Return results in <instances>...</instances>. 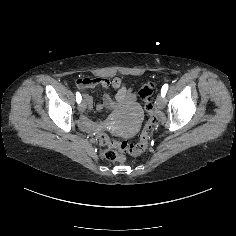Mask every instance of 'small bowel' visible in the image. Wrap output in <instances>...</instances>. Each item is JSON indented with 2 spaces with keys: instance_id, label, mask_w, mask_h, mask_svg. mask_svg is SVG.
I'll use <instances>...</instances> for the list:
<instances>
[{
  "instance_id": "1",
  "label": "small bowel",
  "mask_w": 236,
  "mask_h": 236,
  "mask_svg": "<svg viewBox=\"0 0 236 236\" xmlns=\"http://www.w3.org/2000/svg\"><path fill=\"white\" fill-rule=\"evenodd\" d=\"M109 83L106 81V82H101V83H99V84H93V85H91V86H89V87H92V86H95V85H108ZM112 86H114V87H119L120 85H121V81L119 80V79H114L113 81H112ZM90 101V106H91V104H92V100H91V98L89 97V96H86L85 97V101H86V103H87V101ZM102 106L100 105L99 106V108H101Z\"/></svg>"
}]
</instances>
